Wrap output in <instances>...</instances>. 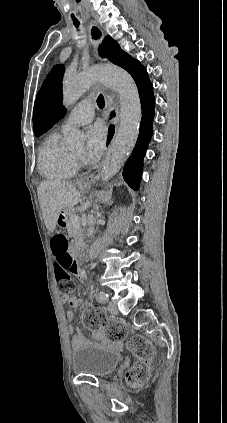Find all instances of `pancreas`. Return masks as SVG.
<instances>
[{
	"mask_svg": "<svg viewBox=\"0 0 227 423\" xmlns=\"http://www.w3.org/2000/svg\"><path fill=\"white\" fill-rule=\"evenodd\" d=\"M74 215H77L75 210L72 211V213H71V215L68 219L67 231H68L70 237H80L82 229H81L80 225H78V223H76V221H75V223H73L72 219H73Z\"/></svg>",
	"mask_w": 227,
	"mask_h": 423,
	"instance_id": "cf45deb5",
	"label": "pancreas"
}]
</instances>
